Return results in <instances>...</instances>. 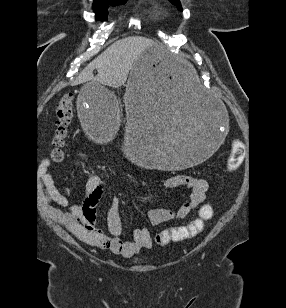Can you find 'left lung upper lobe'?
Here are the masks:
<instances>
[{"instance_id": "1", "label": "left lung upper lobe", "mask_w": 286, "mask_h": 308, "mask_svg": "<svg viewBox=\"0 0 286 308\" xmlns=\"http://www.w3.org/2000/svg\"><path fill=\"white\" fill-rule=\"evenodd\" d=\"M172 4L176 5L179 10H182L181 4L179 0H169Z\"/></svg>"}]
</instances>
